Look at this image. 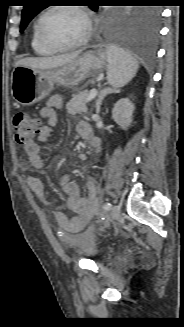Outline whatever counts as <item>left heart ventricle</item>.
Returning <instances> with one entry per match:
<instances>
[{
	"mask_svg": "<svg viewBox=\"0 0 184 327\" xmlns=\"http://www.w3.org/2000/svg\"><path fill=\"white\" fill-rule=\"evenodd\" d=\"M45 35L57 44L78 41L86 31L82 16L71 9L62 8L50 12L43 23Z\"/></svg>",
	"mask_w": 184,
	"mask_h": 327,
	"instance_id": "b2bd125f",
	"label": "left heart ventricle"
}]
</instances>
